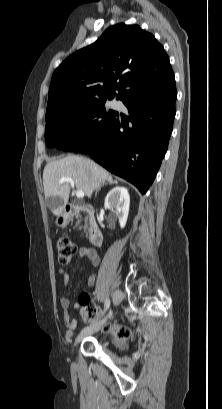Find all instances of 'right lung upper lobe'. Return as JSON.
Masks as SVG:
<instances>
[{"label": "right lung upper lobe", "instance_id": "1", "mask_svg": "<svg viewBox=\"0 0 222 409\" xmlns=\"http://www.w3.org/2000/svg\"><path fill=\"white\" fill-rule=\"evenodd\" d=\"M169 73H173L169 57L155 37L138 25L120 23L56 69L46 112L159 91L166 86L161 76Z\"/></svg>", "mask_w": 222, "mask_h": 409}]
</instances>
